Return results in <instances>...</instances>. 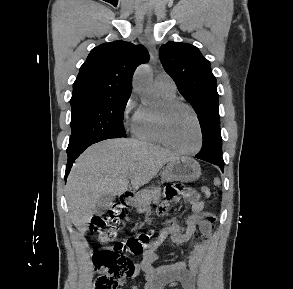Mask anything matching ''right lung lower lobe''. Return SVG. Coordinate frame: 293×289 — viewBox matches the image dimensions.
<instances>
[{
    "label": "right lung lower lobe",
    "instance_id": "1",
    "mask_svg": "<svg viewBox=\"0 0 293 289\" xmlns=\"http://www.w3.org/2000/svg\"><path fill=\"white\" fill-rule=\"evenodd\" d=\"M110 138H119L117 136H103L95 141H90V142H86L80 145H77L75 147H68L67 148V154H68V162H67V166H66V172H65V180L70 172V169L72 167L73 162L75 161V159L79 156V154H81L86 148H88L90 145L97 143L99 141L102 140H106V139H110Z\"/></svg>",
    "mask_w": 293,
    "mask_h": 289
}]
</instances>
